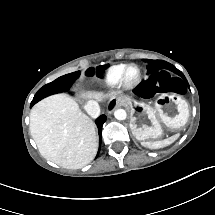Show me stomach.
Segmentation results:
<instances>
[{"mask_svg":"<svg viewBox=\"0 0 215 215\" xmlns=\"http://www.w3.org/2000/svg\"><path fill=\"white\" fill-rule=\"evenodd\" d=\"M120 102L130 111V129L139 141L151 142L165 134H177L189 119L188 103L179 95L163 94L153 104L132 97H122Z\"/></svg>","mask_w":215,"mask_h":215,"instance_id":"stomach-1","label":"stomach"}]
</instances>
